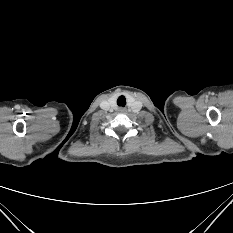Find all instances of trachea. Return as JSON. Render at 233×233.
<instances>
[{
  "label": "trachea",
  "mask_w": 233,
  "mask_h": 233,
  "mask_svg": "<svg viewBox=\"0 0 233 233\" xmlns=\"http://www.w3.org/2000/svg\"><path fill=\"white\" fill-rule=\"evenodd\" d=\"M117 104H118L119 106L124 107L125 104H126V99H125V97L121 96L120 98H118Z\"/></svg>",
  "instance_id": "obj_1"
}]
</instances>
